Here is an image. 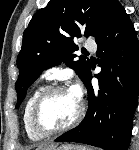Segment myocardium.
Masks as SVG:
<instances>
[{
    "mask_svg": "<svg viewBox=\"0 0 139 150\" xmlns=\"http://www.w3.org/2000/svg\"><path fill=\"white\" fill-rule=\"evenodd\" d=\"M58 91H70V89L66 87L65 85H61V84L49 85L41 91V93L38 95V97L36 98L32 106L31 115H30L31 127L35 133H37L38 135L42 137L51 136V135H55V134H59V133H63L68 130H71L72 128L76 127L80 123V121L82 120L84 116L85 106L83 102L80 99H78L79 100L78 110H77L75 117L70 123L66 124L65 126L54 128V129H47L43 127L39 121V113H40L41 107L43 103L45 102V100L51 94L58 92Z\"/></svg>",
    "mask_w": 139,
    "mask_h": 150,
    "instance_id": "myocardium-1",
    "label": "myocardium"
}]
</instances>
